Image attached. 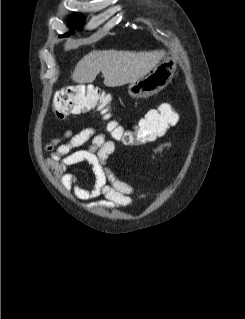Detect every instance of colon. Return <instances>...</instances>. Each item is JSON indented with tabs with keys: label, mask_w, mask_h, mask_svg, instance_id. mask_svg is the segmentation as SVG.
Wrapping results in <instances>:
<instances>
[{
	"label": "colon",
	"mask_w": 245,
	"mask_h": 319,
	"mask_svg": "<svg viewBox=\"0 0 245 319\" xmlns=\"http://www.w3.org/2000/svg\"><path fill=\"white\" fill-rule=\"evenodd\" d=\"M110 99L94 85H70L58 91L53 100L54 112L59 117L84 114L97 110L106 115ZM177 115L170 106L147 112L137 123L135 130L113 126L114 137L126 146L145 145L156 141L175 123Z\"/></svg>",
	"instance_id": "colon-1"
}]
</instances>
